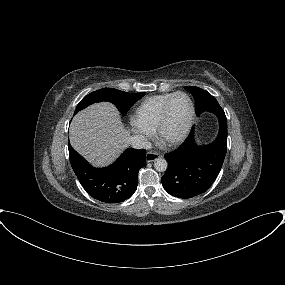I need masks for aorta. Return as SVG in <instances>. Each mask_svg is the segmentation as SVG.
<instances>
[{
  "label": "aorta",
  "instance_id": "obj_1",
  "mask_svg": "<svg viewBox=\"0 0 285 285\" xmlns=\"http://www.w3.org/2000/svg\"><path fill=\"white\" fill-rule=\"evenodd\" d=\"M154 167L157 171L164 172L168 167V163L164 158H157L155 159Z\"/></svg>",
  "mask_w": 285,
  "mask_h": 285
}]
</instances>
